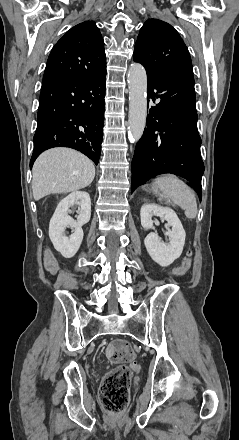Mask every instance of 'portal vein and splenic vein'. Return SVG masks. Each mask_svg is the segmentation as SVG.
<instances>
[{
	"label": "portal vein and splenic vein",
	"mask_w": 239,
	"mask_h": 440,
	"mask_svg": "<svg viewBox=\"0 0 239 440\" xmlns=\"http://www.w3.org/2000/svg\"><path fill=\"white\" fill-rule=\"evenodd\" d=\"M167 203H168L169 205H171V206H174V205H175L174 203L170 202V199H167Z\"/></svg>",
	"instance_id": "1"
}]
</instances>
